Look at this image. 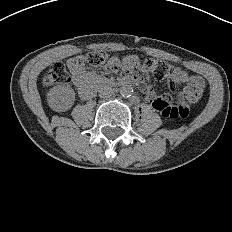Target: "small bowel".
<instances>
[{"mask_svg":"<svg viewBox=\"0 0 232 232\" xmlns=\"http://www.w3.org/2000/svg\"><path fill=\"white\" fill-rule=\"evenodd\" d=\"M78 58H72L68 61V67L72 73V79L75 88L81 94L82 90L93 80L94 74L90 71H87L83 64L78 61ZM147 68L146 61L136 54H131L129 56L118 55L107 60L104 64V69L109 74H114L122 78L126 76H133L136 84L141 88L147 95L148 100L151 102L152 106L163 112V109L168 102L170 101L169 96L157 97L149 88L150 81L147 78L146 73L144 72ZM169 82L172 85L179 83H188L189 85H194L200 88H204L205 82L201 76L198 75H189L182 68L176 67L173 70V73L169 76ZM179 101L183 102V97L181 94L178 96ZM157 101H161L162 105H156Z\"/></svg>","mask_w":232,"mask_h":232,"instance_id":"c3829d8e","label":"small bowel"}]
</instances>
